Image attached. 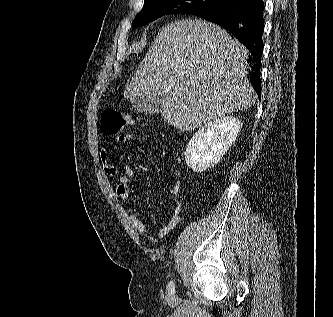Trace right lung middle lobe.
<instances>
[{
    "label": "right lung middle lobe",
    "mask_w": 333,
    "mask_h": 317,
    "mask_svg": "<svg viewBox=\"0 0 333 317\" xmlns=\"http://www.w3.org/2000/svg\"><path fill=\"white\" fill-rule=\"evenodd\" d=\"M227 3L225 0H145L133 26L145 25L168 14H192L209 11Z\"/></svg>",
    "instance_id": "dd1d6c3e"
}]
</instances>
